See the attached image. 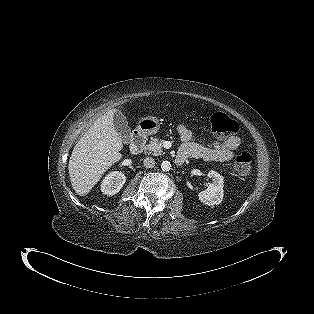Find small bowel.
Here are the masks:
<instances>
[{"label":"small bowel","mask_w":314,"mask_h":314,"mask_svg":"<svg viewBox=\"0 0 314 314\" xmlns=\"http://www.w3.org/2000/svg\"><path fill=\"white\" fill-rule=\"evenodd\" d=\"M176 131L183 144L178 156L202 159L205 161L228 162L234 157L241 144L239 136H230L224 140H215L210 144H200L193 141L192 131L184 124H179Z\"/></svg>","instance_id":"c3829d8e"}]
</instances>
